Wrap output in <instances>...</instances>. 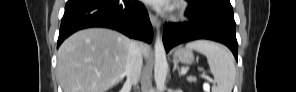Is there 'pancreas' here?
Returning a JSON list of instances; mask_svg holds the SVG:
<instances>
[{
  "label": "pancreas",
  "instance_id": "pancreas-1",
  "mask_svg": "<svg viewBox=\"0 0 296 92\" xmlns=\"http://www.w3.org/2000/svg\"><path fill=\"white\" fill-rule=\"evenodd\" d=\"M196 78L195 77H187V81H189V82H196Z\"/></svg>",
  "mask_w": 296,
  "mask_h": 92
}]
</instances>
